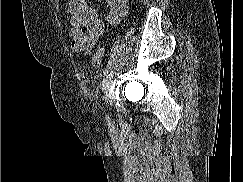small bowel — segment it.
<instances>
[{"label":"small bowel","instance_id":"obj_1","mask_svg":"<svg viewBox=\"0 0 243 182\" xmlns=\"http://www.w3.org/2000/svg\"><path fill=\"white\" fill-rule=\"evenodd\" d=\"M109 7L106 21L117 25L127 13V0H100ZM66 12L70 15L71 48L78 53H89L103 35L106 23L100 19L97 8L87 0H68Z\"/></svg>","mask_w":243,"mask_h":182}]
</instances>
